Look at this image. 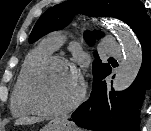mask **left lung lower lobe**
I'll use <instances>...</instances> for the list:
<instances>
[{"instance_id":"1","label":"left lung lower lobe","mask_w":151,"mask_h":131,"mask_svg":"<svg viewBox=\"0 0 151 131\" xmlns=\"http://www.w3.org/2000/svg\"><path fill=\"white\" fill-rule=\"evenodd\" d=\"M142 46V65L134 82L124 91L115 92L106 86L111 66L94 81L89 99L72 114L70 121L94 131H138L139 108L151 79V20L144 5L130 26ZM114 77V76H113Z\"/></svg>"}]
</instances>
